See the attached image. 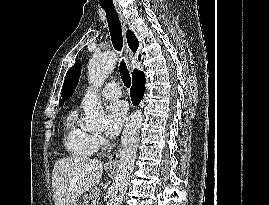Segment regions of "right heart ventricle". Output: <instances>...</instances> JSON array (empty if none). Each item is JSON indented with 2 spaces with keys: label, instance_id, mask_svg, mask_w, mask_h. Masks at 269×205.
<instances>
[{
  "label": "right heart ventricle",
  "instance_id": "obj_1",
  "mask_svg": "<svg viewBox=\"0 0 269 205\" xmlns=\"http://www.w3.org/2000/svg\"><path fill=\"white\" fill-rule=\"evenodd\" d=\"M63 142L66 151L76 158H88L96 151L93 135L79 124L75 110L70 112L65 121Z\"/></svg>",
  "mask_w": 269,
  "mask_h": 205
}]
</instances>
